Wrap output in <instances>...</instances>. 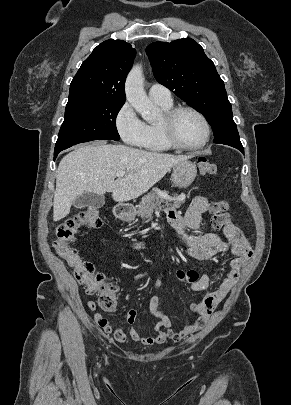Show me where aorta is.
Here are the masks:
<instances>
[{"mask_svg":"<svg viewBox=\"0 0 291 405\" xmlns=\"http://www.w3.org/2000/svg\"><path fill=\"white\" fill-rule=\"evenodd\" d=\"M125 93L127 101L146 121H152L157 116V108L148 98L144 90V78L141 65H135L129 72Z\"/></svg>","mask_w":291,"mask_h":405,"instance_id":"1","label":"aorta"}]
</instances>
